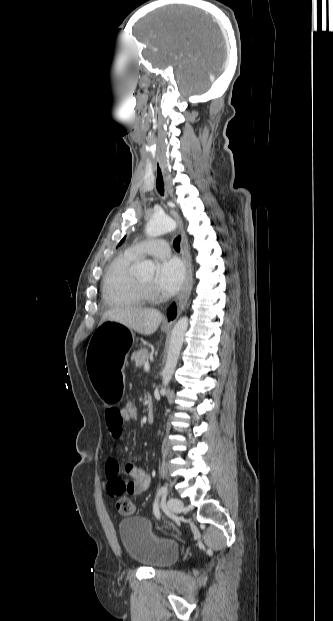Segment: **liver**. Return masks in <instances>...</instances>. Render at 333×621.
<instances>
[{"label":"liver","instance_id":"liver-1","mask_svg":"<svg viewBox=\"0 0 333 621\" xmlns=\"http://www.w3.org/2000/svg\"><path fill=\"white\" fill-rule=\"evenodd\" d=\"M162 318L158 310L130 306L107 310L100 325L106 321H114L142 335H151L158 329Z\"/></svg>","mask_w":333,"mask_h":621}]
</instances>
